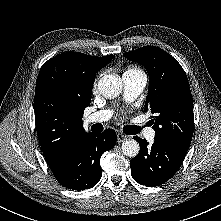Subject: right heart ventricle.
<instances>
[{"mask_svg": "<svg viewBox=\"0 0 221 221\" xmlns=\"http://www.w3.org/2000/svg\"><path fill=\"white\" fill-rule=\"evenodd\" d=\"M127 73H143L141 69H139L138 67L135 66H130L126 69Z\"/></svg>", "mask_w": 221, "mask_h": 221, "instance_id": "obj_1", "label": "right heart ventricle"}]
</instances>
